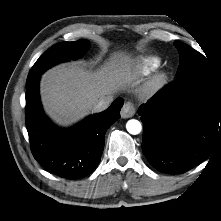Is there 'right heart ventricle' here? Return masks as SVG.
<instances>
[{
  "instance_id": "e07e8e85",
  "label": "right heart ventricle",
  "mask_w": 221,
  "mask_h": 221,
  "mask_svg": "<svg viewBox=\"0 0 221 221\" xmlns=\"http://www.w3.org/2000/svg\"><path fill=\"white\" fill-rule=\"evenodd\" d=\"M160 65V59L155 56H145L138 60L137 70L142 74H148Z\"/></svg>"
}]
</instances>
